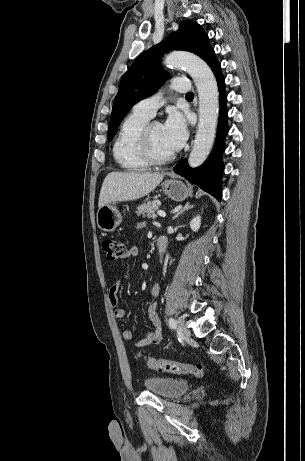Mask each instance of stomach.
Returning <instances> with one entry per match:
<instances>
[{
	"label": "stomach",
	"instance_id": "obj_1",
	"mask_svg": "<svg viewBox=\"0 0 305 461\" xmlns=\"http://www.w3.org/2000/svg\"><path fill=\"white\" fill-rule=\"evenodd\" d=\"M163 192L172 200L181 202L191 195V190L180 180L170 179L162 183ZM122 222V215L112 205H105L97 212V225L105 232L114 231Z\"/></svg>",
	"mask_w": 305,
	"mask_h": 461
}]
</instances>
